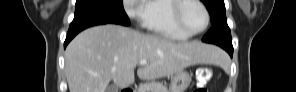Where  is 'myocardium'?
<instances>
[{
  "mask_svg": "<svg viewBox=\"0 0 296 92\" xmlns=\"http://www.w3.org/2000/svg\"><path fill=\"white\" fill-rule=\"evenodd\" d=\"M188 2H194V3H197L198 5H200V7L203 9L204 14H205V18H206L205 24L202 29H200L199 31H196V32L188 31L182 23L181 12H182L184 6ZM172 19H173V22L176 25V27L182 33H184L188 37H193V36H197V35L203 33L208 28L209 23H210V14H209L206 6L199 0H180V1H176L174 4L173 10H172Z\"/></svg>",
  "mask_w": 296,
  "mask_h": 92,
  "instance_id": "obj_1",
  "label": "myocardium"
}]
</instances>
